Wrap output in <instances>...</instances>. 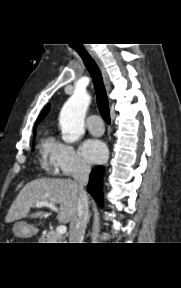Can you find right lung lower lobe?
Returning a JSON list of instances; mask_svg holds the SVG:
<instances>
[{
	"mask_svg": "<svg viewBox=\"0 0 181 288\" xmlns=\"http://www.w3.org/2000/svg\"><path fill=\"white\" fill-rule=\"evenodd\" d=\"M105 168L103 166L96 167L90 174L88 183V192L94 197L95 201L101 206L103 205V194H102V177Z\"/></svg>",
	"mask_w": 181,
	"mask_h": 288,
	"instance_id": "1",
	"label": "right lung lower lobe"
}]
</instances>
